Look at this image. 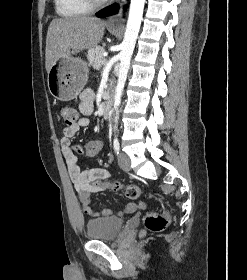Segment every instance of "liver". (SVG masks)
<instances>
[{"label":"liver","instance_id":"obj_1","mask_svg":"<svg viewBox=\"0 0 247 280\" xmlns=\"http://www.w3.org/2000/svg\"><path fill=\"white\" fill-rule=\"evenodd\" d=\"M104 29V22L94 17L76 16L52 20L46 37L47 73L66 51L95 47L102 41Z\"/></svg>","mask_w":247,"mask_h":280}]
</instances>
